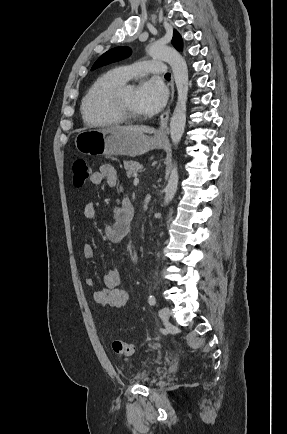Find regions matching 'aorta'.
<instances>
[{
  "label": "aorta",
  "instance_id": "762f6f07",
  "mask_svg": "<svg viewBox=\"0 0 287 434\" xmlns=\"http://www.w3.org/2000/svg\"><path fill=\"white\" fill-rule=\"evenodd\" d=\"M147 53L151 57L166 61L173 71L178 97L173 115L170 119V137L172 143L177 146L183 136L186 124V102L189 86L187 64L179 52L159 42L150 44ZM178 180V169L176 163H174L165 188V204H168L174 198L177 192Z\"/></svg>",
  "mask_w": 287,
  "mask_h": 434
}]
</instances>
